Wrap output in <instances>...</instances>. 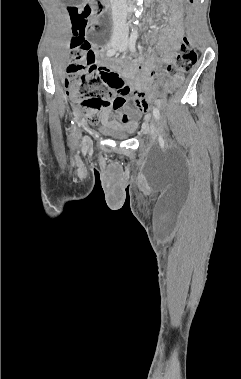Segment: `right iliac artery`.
I'll list each match as a JSON object with an SVG mask.
<instances>
[{
	"instance_id": "obj_1",
	"label": "right iliac artery",
	"mask_w": 241,
	"mask_h": 379,
	"mask_svg": "<svg viewBox=\"0 0 241 379\" xmlns=\"http://www.w3.org/2000/svg\"><path fill=\"white\" fill-rule=\"evenodd\" d=\"M116 48L109 49L107 51V56H113L116 53Z\"/></svg>"
}]
</instances>
